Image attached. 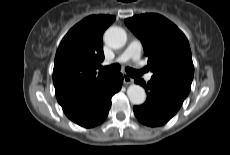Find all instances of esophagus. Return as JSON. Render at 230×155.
<instances>
[{"label": "esophagus", "mask_w": 230, "mask_h": 155, "mask_svg": "<svg viewBox=\"0 0 230 155\" xmlns=\"http://www.w3.org/2000/svg\"><path fill=\"white\" fill-rule=\"evenodd\" d=\"M123 82L124 84L128 85V84H132L134 82V79L131 78L130 76H128L127 74L123 75Z\"/></svg>", "instance_id": "34e87169"}]
</instances>
